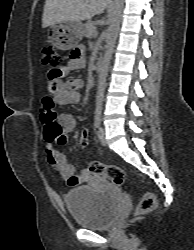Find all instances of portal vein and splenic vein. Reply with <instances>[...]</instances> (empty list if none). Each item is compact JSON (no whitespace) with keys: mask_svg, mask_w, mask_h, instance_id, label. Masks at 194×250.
Returning a JSON list of instances; mask_svg holds the SVG:
<instances>
[{"mask_svg":"<svg viewBox=\"0 0 194 250\" xmlns=\"http://www.w3.org/2000/svg\"><path fill=\"white\" fill-rule=\"evenodd\" d=\"M94 35H95V36L97 35V32H96V31L94 32Z\"/></svg>","mask_w":194,"mask_h":250,"instance_id":"portal-vein-and-splenic-vein-1","label":"portal vein and splenic vein"}]
</instances>
